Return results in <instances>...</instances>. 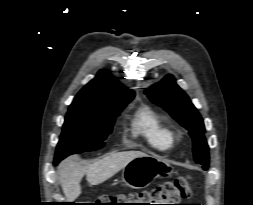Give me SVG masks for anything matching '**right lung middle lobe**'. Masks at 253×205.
I'll return each instance as SVG.
<instances>
[{
	"instance_id": "right-lung-middle-lobe-1",
	"label": "right lung middle lobe",
	"mask_w": 253,
	"mask_h": 205,
	"mask_svg": "<svg viewBox=\"0 0 253 205\" xmlns=\"http://www.w3.org/2000/svg\"><path fill=\"white\" fill-rule=\"evenodd\" d=\"M132 99L113 102L98 112L69 109L54 161L58 163L70 154L103 147L115 117Z\"/></svg>"
}]
</instances>
